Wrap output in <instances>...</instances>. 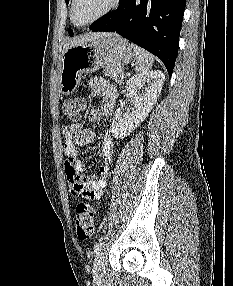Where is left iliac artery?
<instances>
[{
	"mask_svg": "<svg viewBox=\"0 0 233 286\" xmlns=\"http://www.w3.org/2000/svg\"><path fill=\"white\" fill-rule=\"evenodd\" d=\"M102 241L100 240L96 245L94 246V254L97 256L99 255L101 248H102Z\"/></svg>",
	"mask_w": 233,
	"mask_h": 286,
	"instance_id": "obj_1",
	"label": "left iliac artery"
}]
</instances>
